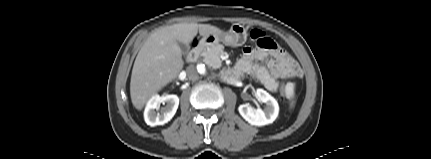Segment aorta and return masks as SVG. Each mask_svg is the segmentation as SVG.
Listing matches in <instances>:
<instances>
[{"label": "aorta", "mask_w": 431, "mask_h": 159, "mask_svg": "<svg viewBox=\"0 0 431 159\" xmlns=\"http://www.w3.org/2000/svg\"><path fill=\"white\" fill-rule=\"evenodd\" d=\"M197 71L204 77H207L210 74V68L205 63H198Z\"/></svg>", "instance_id": "obj_1"}]
</instances>
